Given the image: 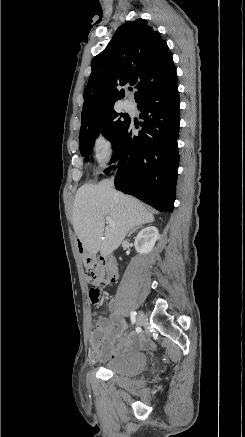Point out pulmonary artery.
I'll list each match as a JSON object with an SVG mask.
<instances>
[{"instance_id":"1","label":"pulmonary artery","mask_w":245,"mask_h":437,"mask_svg":"<svg viewBox=\"0 0 245 437\" xmlns=\"http://www.w3.org/2000/svg\"><path fill=\"white\" fill-rule=\"evenodd\" d=\"M122 106L127 111H130V110L133 109V104L130 101H128V100L124 101Z\"/></svg>"}]
</instances>
